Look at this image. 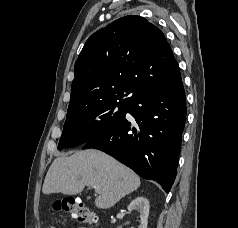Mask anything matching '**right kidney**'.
Wrapping results in <instances>:
<instances>
[{"mask_svg": "<svg viewBox=\"0 0 238 228\" xmlns=\"http://www.w3.org/2000/svg\"><path fill=\"white\" fill-rule=\"evenodd\" d=\"M149 201L145 197H137L128 206V211L137 210L140 213L139 228H147L149 216Z\"/></svg>", "mask_w": 238, "mask_h": 228, "instance_id": "obj_1", "label": "right kidney"}]
</instances>
